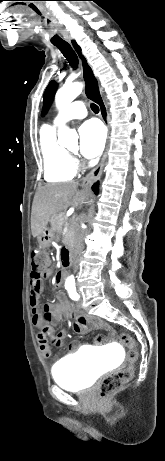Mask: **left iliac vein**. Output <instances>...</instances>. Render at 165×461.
<instances>
[{
  "label": "left iliac vein",
  "instance_id": "1",
  "mask_svg": "<svg viewBox=\"0 0 165 461\" xmlns=\"http://www.w3.org/2000/svg\"><path fill=\"white\" fill-rule=\"evenodd\" d=\"M77 306H78L79 308L82 307V299H80V300L77 302Z\"/></svg>",
  "mask_w": 165,
  "mask_h": 461
}]
</instances>
